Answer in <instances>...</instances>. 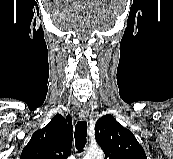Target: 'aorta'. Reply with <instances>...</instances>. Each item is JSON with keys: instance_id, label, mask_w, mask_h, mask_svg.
I'll use <instances>...</instances> for the list:
<instances>
[{"instance_id": "1", "label": "aorta", "mask_w": 173, "mask_h": 159, "mask_svg": "<svg viewBox=\"0 0 173 159\" xmlns=\"http://www.w3.org/2000/svg\"><path fill=\"white\" fill-rule=\"evenodd\" d=\"M83 159H103V151L101 149H89Z\"/></svg>"}]
</instances>
